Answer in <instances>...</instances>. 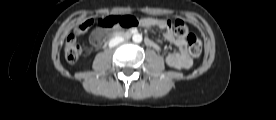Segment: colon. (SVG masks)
<instances>
[{"label": "colon", "mask_w": 276, "mask_h": 120, "mask_svg": "<svg viewBox=\"0 0 276 120\" xmlns=\"http://www.w3.org/2000/svg\"><path fill=\"white\" fill-rule=\"evenodd\" d=\"M94 24L93 20H86L85 22L75 27V34H80L86 31L90 26ZM141 24V19L138 16H121L120 14H114L111 17L100 18L96 21V25L100 28L109 27H124L135 28ZM170 25V22H168ZM175 35L187 41L188 50L190 54L198 58L202 52V41L193 33L188 26L181 20H176L173 24ZM75 34L70 35L65 43V58L69 62H75L81 52L80 43ZM103 38V35H101Z\"/></svg>", "instance_id": "5ec220e1"}]
</instances>
